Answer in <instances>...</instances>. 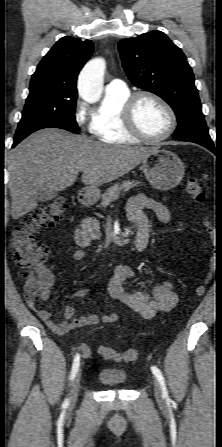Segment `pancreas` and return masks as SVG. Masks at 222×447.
I'll return each instance as SVG.
<instances>
[{"label": "pancreas", "instance_id": "pancreas-1", "mask_svg": "<svg viewBox=\"0 0 222 447\" xmlns=\"http://www.w3.org/2000/svg\"><path fill=\"white\" fill-rule=\"evenodd\" d=\"M141 182L139 181H124L121 184H115L114 186L107 189V191L102 194L101 206L106 208L111 202L119 198L121 191L128 192L130 189L137 187ZM83 228L87 230L89 236L92 239H100V226L99 221L94 218H87L83 221Z\"/></svg>", "mask_w": 222, "mask_h": 447}]
</instances>
